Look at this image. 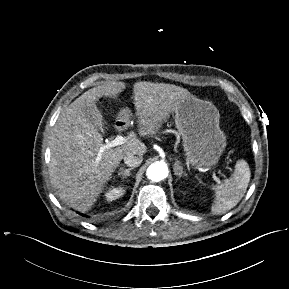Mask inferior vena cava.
Instances as JSON below:
<instances>
[{"label":"inferior vena cava","mask_w":289,"mask_h":289,"mask_svg":"<svg viewBox=\"0 0 289 289\" xmlns=\"http://www.w3.org/2000/svg\"><path fill=\"white\" fill-rule=\"evenodd\" d=\"M142 161H143V154L141 153L128 152L124 156V163L130 167H137L142 163Z\"/></svg>","instance_id":"inferior-vena-cava-1"}]
</instances>
